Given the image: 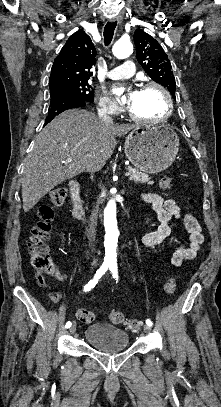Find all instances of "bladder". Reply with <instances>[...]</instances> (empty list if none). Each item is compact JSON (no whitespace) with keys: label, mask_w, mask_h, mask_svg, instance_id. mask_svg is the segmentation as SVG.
<instances>
[{"label":"bladder","mask_w":221,"mask_h":407,"mask_svg":"<svg viewBox=\"0 0 221 407\" xmlns=\"http://www.w3.org/2000/svg\"><path fill=\"white\" fill-rule=\"evenodd\" d=\"M85 340L103 352L112 353L126 348L129 335L124 330L107 323H93L86 327Z\"/></svg>","instance_id":"obj_1"}]
</instances>
